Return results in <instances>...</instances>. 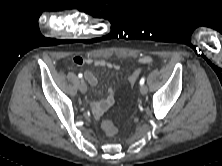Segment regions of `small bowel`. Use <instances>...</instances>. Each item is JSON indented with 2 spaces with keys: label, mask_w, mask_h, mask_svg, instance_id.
<instances>
[{
  "label": "small bowel",
  "mask_w": 222,
  "mask_h": 166,
  "mask_svg": "<svg viewBox=\"0 0 222 166\" xmlns=\"http://www.w3.org/2000/svg\"><path fill=\"white\" fill-rule=\"evenodd\" d=\"M72 62L77 66H83L87 64V65L107 67L113 70L119 69V66L114 63L100 59L94 60L91 58H84L81 56L73 57ZM138 62L141 64H150L152 62V58L150 56L144 55L138 59ZM84 78L91 86H95L97 84V78L91 71L88 70L84 71ZM114 102H115V91L114 89H110L108 96L105 99L91 102V108L94 116L96 118H100L104 114V112L114 104Z\"/></svg>",
  "instance_id": "1"
}]
</instances>
